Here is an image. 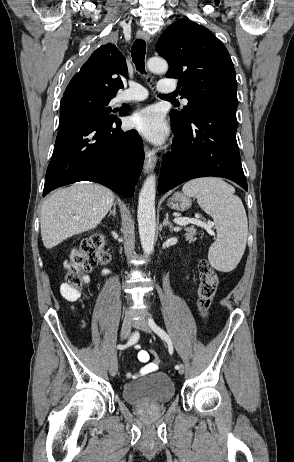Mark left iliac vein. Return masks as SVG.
<instances>
[{"label": "left iliac vein", "mask_w": 294, "mask_h": 462, "mask_svg": "<svg viewBox=\"0 0 294 462\" xmlns=\"http://www.w3.org/2000/svg\"><path fill=\"white\" fill-rule=\"evenodd\" d=\"M133 326L137 329H140L146 333H151V329L148 325V322L144 319V318H141L139 320H136L133 322ZM178 372L179 374H183L184 373V366L182 364H180V368L178 369Z\"/></svg>", "instance_id": "1"}]
</instances>
